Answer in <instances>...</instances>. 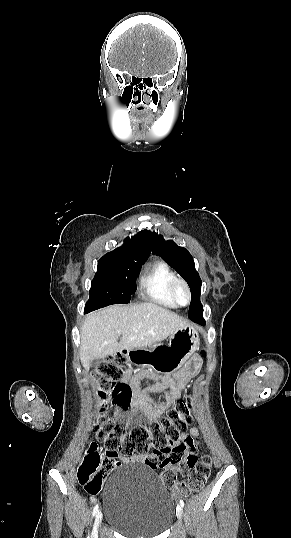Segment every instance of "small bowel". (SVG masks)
<instances>
[{
  "instance_id": "1",
  "label": "small bowel",
  "mask_w": 291,
  "mask_h": 538,
  "mask_svg": "<svg viewBox=\"0 0 291 538\" xmlns=\"http://www.w3.org/2000/svg\"><path fill=\"white\" fill-rule=\"evenodd\" d=\"M201 372L200 360L196 354H189L187 356V363H179L177 369L172 371V377L164 376L160 381L155 380L150 386L141 389L140 384L143 380L147 379L144 374L133 375L131 370L126 371L122 382L127 384L132 392L131 411L126 412L115 404L114 413L119 422L125 423L127 426L131 425L134 421L141 418H147L150 420L159 418L164 412L172 406L175 401L180 398L182 392L187 388L188 383L199 376ZM151 394H162L164 401L161 403H155L152 401ZM199 432L197 428L192 427L188 433L180 435V443H184L188 449L197 454L196 437ZM150 456L136 455V456H121V461L124 463H142L152 469L159 468L152 466L148 463ZM177 471L181 474H185L189 467L186 465H180Z\"/></svg>"
}]
</instances>
